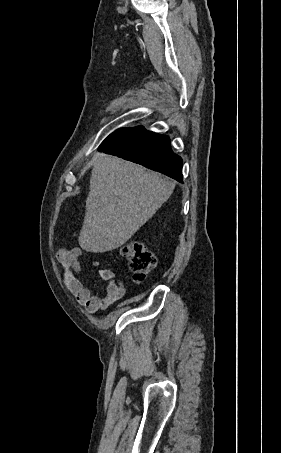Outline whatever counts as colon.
<instances>
[{"label":"colon","instance_id":"5ec220e1","mask_svg":"<svg viewBox=\"0 0 281 453\" xmlns=\"http://www.w3.org/2000/svg\"><path fill=\"white\" fill-rule=\"evenodd\" d=\"M119 251L128 262L129 269L138 281H143L149 271L158 264L157 257L145 243L135 239L128 240L119 246Z\"/></svg>","mask_w":281,"mask_h":453}]
</instances>
